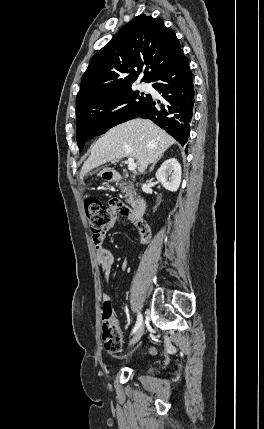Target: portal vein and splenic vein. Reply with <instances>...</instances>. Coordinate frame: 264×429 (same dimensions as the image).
Wrapping results in <instances>:
<instances>
[{
  "label": "portal vein and splenic vein",
  "mask_w": 264,
  "mask_h": 429,
  "mask_svg": "<svg viewBox=\"0 0 264 429\" xmlns=\"http://www.w3.org/2000/svg\"><path fill=\"white\" fill-rule=\"evenodd\" d=\"M137 167V164L134 162L132 158H128V170L134 171Z\"/></svg>",
  "instance_id": "18ae733b"
}]
</instances>
